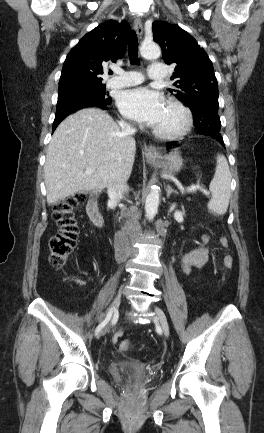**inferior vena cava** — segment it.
<instances>
[{"mask_svg":"<svg viewBox=\"0 0 264 433\" xmlns=\"http://www.w3.org/2000/svg\"><path fill=\"white\" fill-rule=\"evenodd\" d=\"M122 134L131 136L136 132V129L125 121H119ZM128 192L127 179L122 177H111L108 181V195L110 201L115 207L123 198L124 194Z\"/></svg>","mask_w":264,"mask_h":433,"instance_id":"1","label":"inferior vena cava"}]
</instances>
